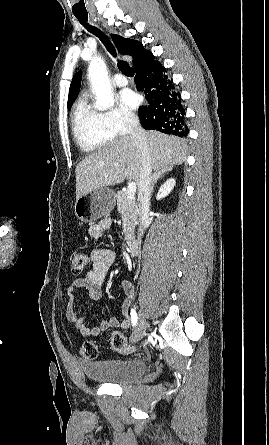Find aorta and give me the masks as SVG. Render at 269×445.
<instances>
[{
	"instance_id": "aorta-1",
	"label": "aorta",
	"mask_w": 269,
	"mask_h": 445,
	"mask_svg": "<svg viewBox=\"0 0 269 445\" xmlns=\"http://www.w3.org/2000/svg\"><path fill=\"white\" fill-rule=\"evenodd\" d=\"M88 75L96 96V108L104 111L112 107L114 98L105 63L100 57H94L91 60L88 68Z\"/></svg>"
}]
</instances>
